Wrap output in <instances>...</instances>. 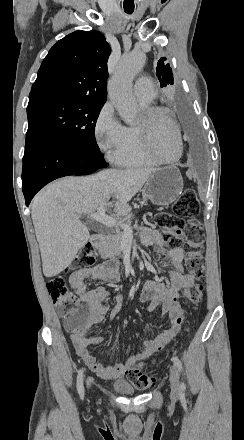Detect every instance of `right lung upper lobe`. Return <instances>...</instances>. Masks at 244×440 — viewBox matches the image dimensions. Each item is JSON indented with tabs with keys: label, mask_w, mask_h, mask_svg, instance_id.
Returning a JSON list of instances; mask_svg holds the SVG:
<instances>
[{
	"label": "right lung upper lobe",
	"mask_w": 244,
	"mask_h": 440,
	"mask_svg": "<svg viewBox=\"0 0 244 440\" xmlns=\"http://www.w3.org/2000/svg\"><path fill=\"white\" fill-rule=\"evenodd\" d=\"M111 48L98 31H76L59 40L38 71L29 100H106Z\"/></svg>",
	"instance_id": "obj_1"
}]
</instances>
